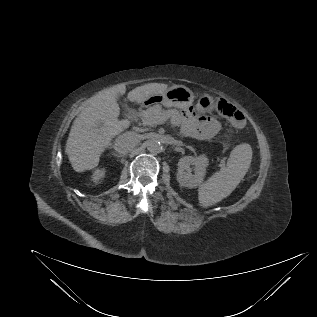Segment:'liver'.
Wrapping results in <instances>:
<instances>
[{
    "label": "liver",
    "mask_w": 317,
    "mask_h": 317,
    "mask_svg": "<svg viewBox=\"0 0 317 317\" xmlns=\"http://www.w3.org/2000/svg\"><path fill=\"white\" fill-rule=\"evenodd\" d=\"M169 86L149 83L128 93L131 102H144L149 97L163 94ZM126 86L119 84L93 96L73 121L65 147L71 166L76 172L91 170L99 164L100 156L111 140L128 126V120H119L118 94H125Z\"/></svg>",
    "instance_id": "6515ba94"
}]
</instances>
